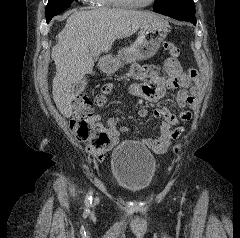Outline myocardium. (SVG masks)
I'll return each mask as SVG.
<instances>
[{"label": "myocardium", "instance_id": "obj_1", "mask_svg": "<svg viewBox=\"0 0 240 238\" xmlns=\"http://www.w3.org/2000/svg\"><path fill=\"white\" fill-rule=\"evenodd\" d=\"M155 0H149L145 3L132 2L128 0H116V2L125 8H142L151 5Z\"/></svg>", "mask_w": 240, "mask_h": 238}]
</instances>
